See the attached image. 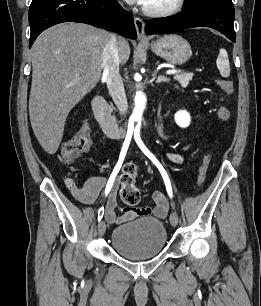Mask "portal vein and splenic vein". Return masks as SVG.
<instances>
[{"mask_svg":"<svg viewBox=\"0 0 261 306\" xmlns=\"http://www.w3.org/2000/svg\"><path fill=\"white\" fill-rule=\"evenodd\" d=\"M180 71L177 70H168L166 71V74L172 75V74H178Z\"/></svg>","mask_w":261,"mask_h":306,"instance_id":"obj_1","label":"portal vein and splenic vein"}]
</instances>
